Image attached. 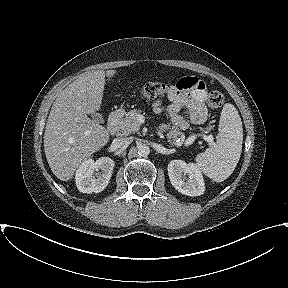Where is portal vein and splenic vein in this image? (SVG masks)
I'll list each match as a JSON object with an SVG mask.
<instances>
[{"mask_svg": "<svg viewBox=\"0 0 288 288\" xmlns=\"http://www.w3.org/2000/svg\"><path fill=\"white\" fill-rule=\"evenodd\" d=\"M196 136H197V135H195V134L192 135V136H190V137L186 140L185 145H186V146L191 145V144L195 141ZM204 139H205L206 141L210 142L212 145H214L213 137H212L211 135H209V136H204Z\"/></svg>", "mask_w": 288, "mask_h": 288, "instance_id": "obj_1", "label": "portal vein and splenic vein"}]
</instances>
